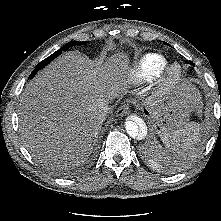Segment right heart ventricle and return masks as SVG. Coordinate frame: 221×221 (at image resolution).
<instances>
[{
  "mask_svg": "<svg viewBox=\"0 0 221 221\" xmlns=\"http://www.w3.org/2000/svg\"><path fill=\"white\" fill-rule=\"evenodd\" d=\"M168 66V60L158 53L140 57L130 69L127 80L132 85H142L156 80Z\"/></svg>",
  "mask_w": 221,
  "mask_h": 221,
  "instance_id": "e07e8e85",
  "label": "right heart ventricle"
}]
</instances>
